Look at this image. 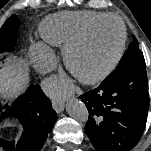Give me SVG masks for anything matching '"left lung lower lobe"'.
Listing matches in <instances>:
<instances>
[{"instance_id": "obj_1", "label": "left lung lower lobe", "mask_w": 151, "mask_h": 151, "mask_svg": "<svg viewBox=\"0 0 151 151\" xmlns=\"http://www.w3.org/2000/svg\"><path fill=\"white\" fill-rule=\"evenodd\" d=\"M80 98L89 111L85 131L97 151H129L140 140L147 121L146 65H131Z\"/></svg>"}]
</instances>
